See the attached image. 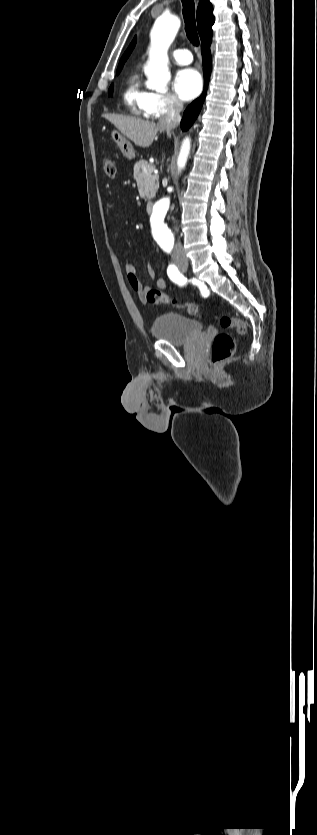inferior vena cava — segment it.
<instances>
[{"label": "inferior vena cava", "mask_w": 317, "mask_h": 835, "mask_svg": "<svg viewBox=\"0 0 317 835\" xmlns=\"http://www.w3.org/2000/svg\"><path fill=\"white\" fill-rule=\"evenodd\" d=\"M182 109L183 104L177 99H174L168 107L167 113L160 118L159 125L162 129L166 130L168 136L171 135V129L177 127L180 123V112L182 111ZM184 255L185 254L181 243L177 242L173 251L174 259L182 258L184 257Z\"/></svg>", "instance_id": "inferior-vena-cava-1"}]
</instances>
